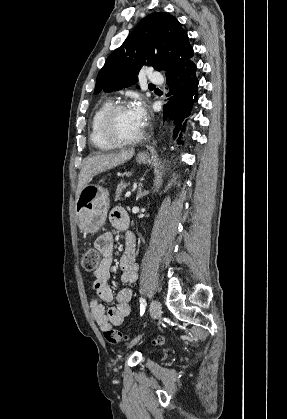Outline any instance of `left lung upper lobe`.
<instances>
[{"instance_id": "left-lung-upper-lobe-1", "label": "left lung upper lobe", "mask_w": 287, "mask_h": 419, "mask_svg": "<svg viewBox=\"0 0 287 419\" xmlns=\"http://www.w3.org/2000/svg\"><path fill=\"white\" fill-rule=\"evenodd\" d=\"M193 53L188 35L175 17L152 13L108 57L98 73L94 94L133 85L143 66L164 69L170 75L190 62Z\"/></svg>"}]
</instances>
